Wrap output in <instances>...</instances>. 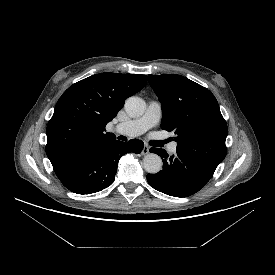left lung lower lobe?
Masks as SVG:
<instances>
[{
    "mask_svg": "<svg viewBox=\"0 0 275 275\" xmlns=\"http://www.w3.org/2000/svg\"><path fill=\"white\" fill-rule=\"evenodd\" d=\"M150 152L161 156L163 169L148 174L147 181L154 189L175 197H187L202 189L211 179L215 169L199 160L180 153L168 156L164 149L151 148Z\"/></svg>",
    "mask_w": 275,
    "mask_h": 275,
    "instance_id": "obj_1",
    "label": "left lung lower lobe"
}]
</instances>
